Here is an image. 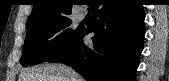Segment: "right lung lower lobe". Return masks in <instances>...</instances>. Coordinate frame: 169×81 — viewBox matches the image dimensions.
Listing matches in <instances>:
<instances>
[{
	"instance_id": "obj_1",
	"label": "right lung lower lobe",
	"mask_w": 169,
	"mask_h": 81,
	"mask_svg": "<svg viewBox=\"0 0 169 81\" xmlns=\"http://www.w3.org/2000/svg\"><path fill=\"white\" fill-rule=\"evenodd\" d=\"M91 29L76 37L46 62L66 63L87 81H134L145 35L143 6L135 0H94ZM94 32L93 47L82 39Z\"/></svg>"
}]
</instances>
